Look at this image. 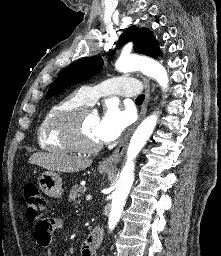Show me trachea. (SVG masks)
Wrapping results in <instances>:
<instances>
[{
	"instance_id": "trachea-1",
	"label": "trachea",
	"mask_w": 221,
	"mask_h": 256,
	"mask_svg": "<svg viewBox=\"0 0 221 256\" xmlns=\"http://www.w3.org/2000/svg\"><path fill=\"white\" fill-rule=\"evenodd\" d=\"M145 99V96L142 94V95H139L137 98H136V102H140L142 103Z\"/></svg>"
}]
</instances>
